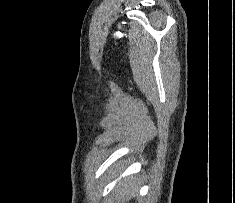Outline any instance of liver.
I'll use <instances>...</instances> for the list:
<instances>
[{"label": "liver", "mask_w": 235, "mask_h": 203, "mask_svg": "<svg viewBox=\"0 0 235 203\" xmlns=\"http://www.w3.org/2000/svg\"><path fill=\"white\" fill-rule=\"evenodd\" d=\"M119 190L122 191V195L129 196V194H134V189L132 187V182L130 179H125L120 185L118 186ZM131 188V189H130Z\"/></svg>", "instance_id": "6515ba94"}]
</instances>
